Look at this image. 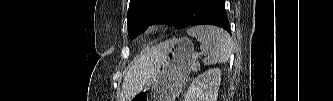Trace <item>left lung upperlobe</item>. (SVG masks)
<instances>
[{"label":"left lung upper lobe","mask_w":333,"mask_h":101,"mask_svg":"<svg viewBox=\"0 0 333 101\" xmlns=\"http://www.w3.org/2000/svg\"><path fill=\"white\" fill-rule=\"evenodd\" d=\"M184 5L182 0H130L127 20L128 34L133 39L152 22L174 26L181 23Z\"/></svg>","instance_id":"left-lung-upper-lobe-1"}]
</instances>
